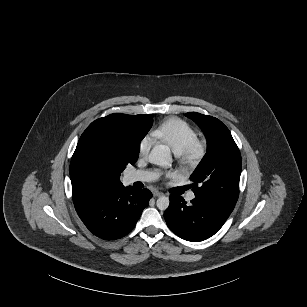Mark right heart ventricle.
Instances as JSON below:
<instances>
[{
  "instance_id": "right-heart-ventricle-1",
  "label": "right heart ventricle",
  "mask_w": 307,
  "mask_h": 307,
  "mask_svg": "<svg viewBox=\"0 0 307 307\" xmlns=\"http://www.w3.org/2000/svg\"><path fill=\"white\" fill-rule=\"evenodd\" d=\"M150 134L155 143L165 144L175 153L181 152L196 140V133L186 123L177 118H168L155 125Z\"/></svg>"
}]
</instances>
